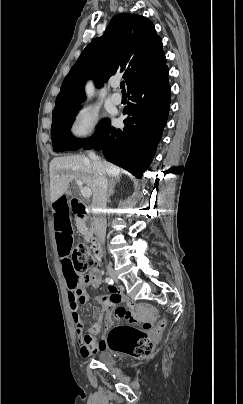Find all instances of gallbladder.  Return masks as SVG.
Masks as SVG:
<instances>
[{"mask_svg":"<svg viewBox=\"0 0 243 404\" xmlns=\"http://www.w3.org/2000/svg\"><path fill=\"white\" fill-rule=\"evenodd\" d=\"M67 196H71V192H67Z\"/></svg>","mask_w":243,"mask_h":404,"instance_id":"gallbladder-1","label":"gallbladder"}]
</instances>
